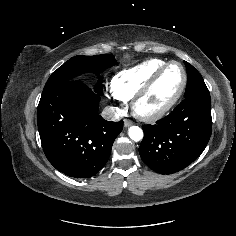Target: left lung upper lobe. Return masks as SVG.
<instances>
[{
  "instance_id": "obj_1",
  "label": "left lung upper lobe",
  "mask_w": 236,
  "mask_h": 236,
  "mask_svg": "<svg viewBox=\"0 0 236 236\" xmlns=\"http://www.w3.org/2000/svg\"><path fill=\"white\" fill-rule=\"evenodd\" d=\"M184 63L187 68L188 77L184 96L188 97L197 92L208 91L201 74L188 62L184 61Z\"/></svg>"
}]
</instances>
